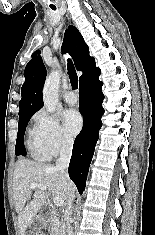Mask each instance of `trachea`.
<instances>
[{"mask_svg": "<svg viewBox=\"0 0 155 235\" xmlns=\"http://www.w3.org/2000/svg\"><path fill=\"white\" fill-rule=\"evenodd\" d=\"M53 10H56L55 8H52ZM67 69H68V75L70 78V82H71V86L73 89H77L78 88V76L76 73V70L73 66V63L70 59L67 60Z\"/></svg>", "mask_w": 155, "mask_h": 235, "instance_id": "trachea-1", "label": "trachea"}]
</instances>
